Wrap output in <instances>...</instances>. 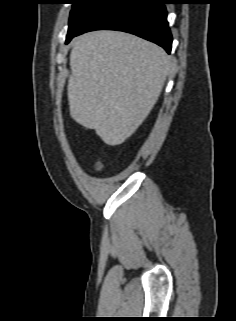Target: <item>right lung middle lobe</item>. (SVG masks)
I'll return each instance as SVG.
<instances>
[{
	"instance_id": "obj_1",
	"label": "right lung middle lobe",
	"mask_w": 236,
	"mask_h": 321,
	"mask_svg": "<svg viewBox=\"0 0 236 321\" xmlns=\"http://www.w3.org/2000/svg\"><path fill=\"white\" fill-rule=\"evenodd\" d=\"M73 6L70 13L69 29L66 41L87 22V20L108 0H71Z\"/></svg>"
}]
</instances>
